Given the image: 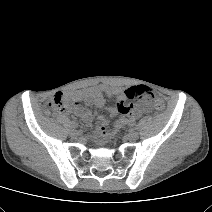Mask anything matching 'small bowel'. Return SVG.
Wrapping results in <instances>:
<instances>
[{
	"mask_svg": "<svg viewBox=\"0 0 212 212\" xmlns=\"http://www.w3.org/2000/svg\"><path fill=\"white\" fill-rule=\"evenodd\" d=\"M104 94H107L115 99V105L109 109L111 116L118 117L115 130L120 128L122 125L132 124L142 114L147 113L150 110V104L147 100L127 104V90L103 84L72 93L67 97L61 93H58L55 96H61L64 100L69 99L72 101L74 105L77 106L74 114L83 121L89 122L92 119V114L88 110L80 108V103L102 107L105 104ZM107 126L108 122L105 117L102 115L99 116L98 134L100 136L104 137L108 135Z\"/></svg>",
	"mask_w": 212,
	"mask_h": 212,
	"instance_id": "c3829d8e",
	"label": "small bowel"
}]
</instances>
